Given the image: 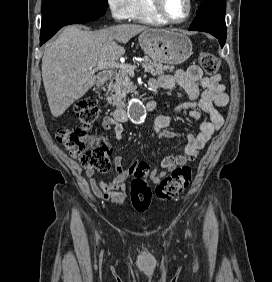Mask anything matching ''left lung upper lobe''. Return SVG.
<instances>
[{
    "label": "left lung upper lobe",
    "instance_id": "obj_1",
    "mask_svg": "<svg viewBox=\"0 0 272 282\" xmlns=\"http://www.w3.org/2000/svg\"><path fill=\"white\" fill-rule=\"evenodd\" d=\"M196 1H200V2H202V1H205V0H196Z\"/></svg>",
    "mask_w": 272,
    "mask_h": 282
}]
</instances>
